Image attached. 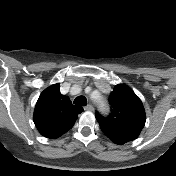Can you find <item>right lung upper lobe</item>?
I'll use <instances>...</instances> for the list:
<instances>
[{
  "label": "right lung upper lobe",
  "mask_w": 176,
  "mask_h": 176,
  "mask_svg": "<svg viewBox=\"0 0 176 176\" xmlns=\"http://www.w3.org/2000/svg\"><path fill=\"white\" fill-rule=\"evenodd\" d=\"M60 84L46 88L36 103L34 123L41 135L55 139L69 131L83 109L60 93Z\"/></svg>",
  "instance_id": "cb5924a9"
}]
</instances>
